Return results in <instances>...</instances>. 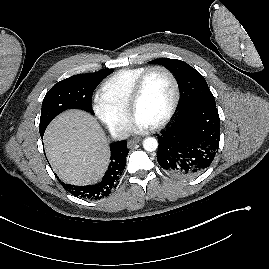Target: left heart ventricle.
<instances>
[{
    "label": "left heart ventricle",
    "instance_id": "left-heart-ventricle-1",
    "mask_svg": "<svg viewBox=\"0 0 269 269\" xmlns=\"http://www.w3.org/2000/svg\"><path fill=\"white\" fill-rule=\"evenodd\" d=\"M174 96L171 79L162 71H154L148 77L135 118L149 127L159 122L167 113Z\"/></svg>",
    "mask_w": 269,
    "mask_h": 269
}]
</instances>
